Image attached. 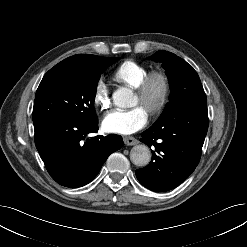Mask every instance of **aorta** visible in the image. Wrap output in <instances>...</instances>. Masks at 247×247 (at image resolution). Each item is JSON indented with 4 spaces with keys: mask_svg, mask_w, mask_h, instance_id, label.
<instances>
[{
    "mask_svg": "<svg viewBox=\"0 0 247 247\" xmlns=\"http://www.w3.org/2000/svg\"><path fill=\"white\" fill-rule=\"evenodd\" d=\"M132 97L133 93L128 88H119L113 93L114 103L120 107H127ZM130 159L134 165L144 167L151 160V151L144 144L136 145L131 149Z\"/></svg>",
    "mask_w": 247,
    "mask_h": 247,
    "instance_id": "762f6f07",
    "label": "aorta"
}]
</instances>
